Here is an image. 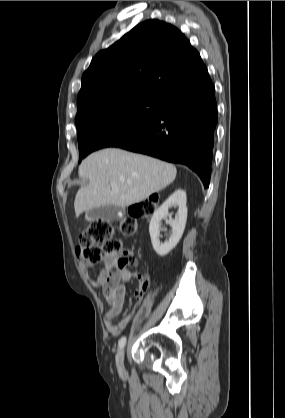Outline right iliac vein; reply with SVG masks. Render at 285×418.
<instances>
[{
  "label": "right iliac vein",
  "mask_w": 285,
  "mask_h": 418,
  "mask_svg": "<svg viewBox=\"0 0 285 418\" xmlns=\"http://www.w3.org/2000/svg\"><path fill=\"white\" fill-rule=\"evenodd\" d=\"M116 366L119 372L125 371L124 367V349H121L116 355Z\"/></svg>",
  "instance_id": "1"
}]
</instances>
